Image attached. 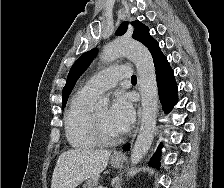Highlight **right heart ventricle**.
<instances>
[{
	"label": "right heart ventricle",
	"mask_w": 224,
	"mask_h": 188,
	"mask_svg": "<svg viewBox=\"0 0 224 188\" xmlns=\"http://www.w3.org/2000/svg\"><path fill=\"white\" fill-rule=\"evenodd\" d=\"M95 98L96 96L81 89L74 95L65 113L66 137L76 149H92L98 145L90 125L91 105Z\"/></svg>",
	"instance_id": "e07e8e85"
}]
</instances>
